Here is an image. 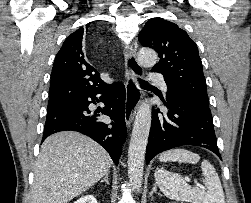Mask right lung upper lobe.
<instances>
[{"mask_svg":"<svg viewBox=\"0 0 251 203\" xmlns=\"http://www.w3.org/2000/svg\"><path fill=\"white\" fill-rule=\"evenodd\" d=\"M88 26L72 33L56 55L51 73L48 110L71 102L90 89L108 85L85 60L82 39Z\"/></svg>","mask_w":251,"mask_h":203,"instance_id":"right-lung-upper-lobe-1","label":"right lung upper lobe"}]
</instances>
